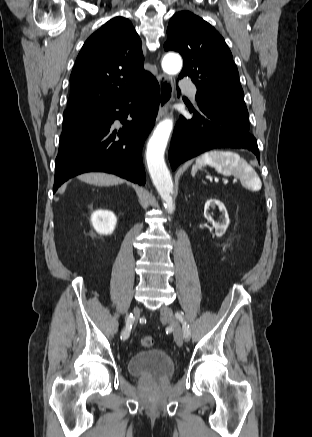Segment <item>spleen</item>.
<instances>
[{"label": "spleen", "mask_w": 312, "mask_h": 437, "mask_svg": "<svg viewBox=\"0 0 312 437\" xmlns=\"http://www.w3.org/2000/svg\"><path fill=\"white\" fill-rule=\"evenodd\" d=\"M214 167L218 173L225 176L234 175L245 182L252 190L261 188V181L253 168L237 153L231 151H209L196 159L192 167V175L202 166Z\"/></svg>", "instance_id": "spleen-1"}]
</instances>
